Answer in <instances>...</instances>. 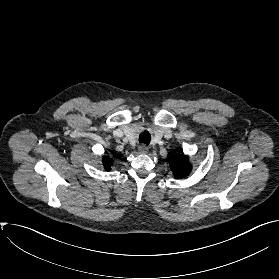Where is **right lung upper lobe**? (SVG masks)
Returning <instances> with one entry per match:
<instances>
[{
  "instance_id": "cb5924a9",
  "label": "right lung upper lobe",
  "mask_w": 279,
  "mask_h": 279,
  "mask_svg": "<svg viewBox=\"0 0 279 279\" xmlns=\"http://www.w3.org/2000/svg\"><path fill=\"white\" fill-rule=\"evenodd\" d=\"M103 162H104V168L106 170H110V166L112 164V160L109 159L108 157H104Z\"/></svg>"
}]
</instances>
